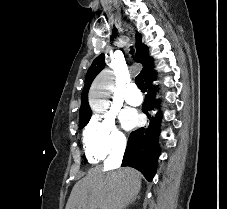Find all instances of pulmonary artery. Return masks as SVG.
<instances>
[{
    "label": "pulmonary artery",
    "instance_id": "e3ab8cb5",
    "mask_svg": "<svg viewBox=\"0 0 227 209\" xmlns=\"http://www.w3.org/2000/svg\"><path fill=\"white\" fill-rule=\"evenodd\" d=\"M126 86L124 88L125 92H131L127 93L125 95V101L127 104L132 106H139L143 102V97L139 92H135L136 88L138 86L137 82H127Z\"/></svg>",
    "mask_w": 227,
    "mask_h": 209
}]
</instances>
